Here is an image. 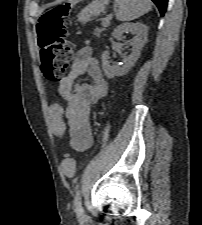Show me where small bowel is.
<instances>
[{
  "label": "small bowel",
  "instance_id": "obj_1",
  "mask_svg": "<svg viewBox=\"0 0 202 225\" xmlns=\"http://www.w3.org/2000/svg\"><path fill=\"white\" fill-rule=\"evenodd\" d=\"M86 74L90 76L91 84L78 81ZM108 89V82L93 57L92 49L81 47L73 58L69 73L58 85V93L66 106L54 104L49 109L52 134L65 138L68 133L70 144L76 151L88 150L94 141L89 120L90 106L104 98Z\"/></svg>",
  "mask_w": 202,
  "mask_h": 225
}]
</instances>
